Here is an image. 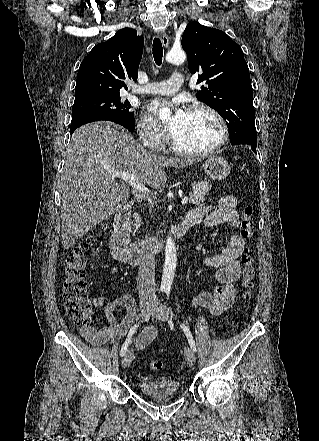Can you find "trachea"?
<instances>
[{
    "mask_svg": "<svg viewBox=\"0 0 319 441\" xmlns=\"http://www.w3.org/2000/svg\"><path fill=\"white\" fill-rule=\"evenodd\" d=\"M152 51L156 64L160 66L162 64V58H163V47L161 40L159 38H154Z\"/></svg>",
    "mask_w": 319,
    "mask_h": 441,
    "instance_id": "obj_1",
    "label": "trachea"
}]
</instances>
